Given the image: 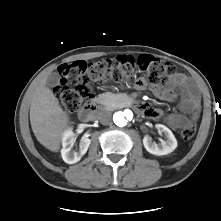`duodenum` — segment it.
<instances>
[{"instance_id":"obj_1","label":"duodenum","mask_w":221,"mask_h":221,"mask_svg":"<svg viewBox=\"0 0 221 221\" xmlns=\"http://www.w3.org/2000/svg\"><path fill=\"white\" fill-rule=\"evenodd\" d=\"M135 105L138 109H141L142 106L141 105ZM101 107V103L99 102L98 99H94L89 105L88 107H86L85 109L81 110L79 113V118L80 120L86 122V121H90L91 119H93L95 111H97L99 108Z\"/></svg>"}]
</instances>
